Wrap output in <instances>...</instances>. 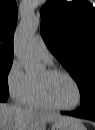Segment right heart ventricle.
<instances>
[{"label":"right heart ventricle","mask_w":95,"mask_h":130,"mask_svg":"<svg viewBox=\"0 0 95 130\" xmlns=\"http://www.w3.org/2000/svg\"><path fill=\"white\" fill-rule=\"evenodd\" d=\"M28 106L30 107H34V108H50L45 102H43V100L41 99L39 92H38V88H37V84L36 82H34L33 84V88L31 91V94L29 96V99L26 103Z\"/></svg>","instance_id":"e07e8e85"}]
</instances>
